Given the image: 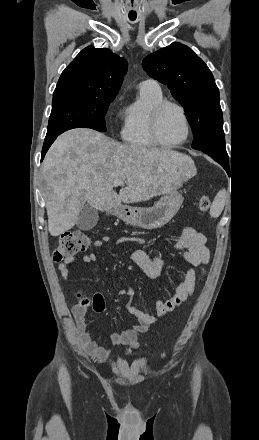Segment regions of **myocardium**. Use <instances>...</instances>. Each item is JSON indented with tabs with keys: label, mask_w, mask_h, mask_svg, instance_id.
<instances>
[{
	"label": "myocardium",
	"mask_w": 259,
	"mask_h": 440,
	"mask_svg": "<svg viewBox=\"0 0 259 440\" xmlns=\"http://www.w3.org/2000/svg\"><path fill=\"white\" fill-rule=\"evenodd\" d=\"M168 107H174L180 112V114L183 118L184 124H185V129H186V133H185L184 138L182 140H180L179 142L171 143V144L165 143L161 139L160 134H159V123H160L161 115L164 112V110ZM150 133H151V136H152L154 142L158 146H161L163 148H177V147L185 144L191 135V125H190L189 118H188V115H187L184 107L182 105H180L179 103L174 102V101H170V100H163L162 102L157 104L153 108V110L151 112V116H150Z\"/></svg>",
	"instance_id": "obj_1"
}]
</instances>
